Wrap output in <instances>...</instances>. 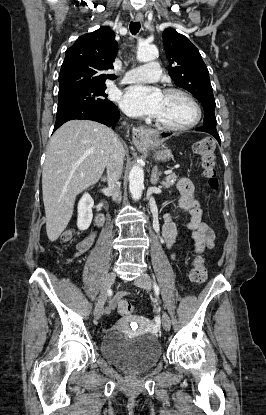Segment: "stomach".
Segmentation results:
<instances>
[{
    "label": "stomach",
    "instance_id": "obj_1",
    "mask_svg": "<svg viewBox=\"0 0 266 415\" xmlns=\"http://www.w3.org/2000/svg\"><path fill=\"white\" fill-rule=\"evenodd\" d=\"M155 146L156 142L153 139L148 138L138 144V149L140 151H147L153 149ZM154 157L159 161H167L172 157V152L170 149H166L162 146L159 151H155Z\"/></svg>",
    "mask_w": 266,
    "mask_h": 415
}]
</instances>
